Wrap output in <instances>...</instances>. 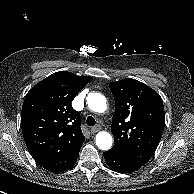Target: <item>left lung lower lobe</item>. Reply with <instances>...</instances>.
I'll return each instance as SVG.
<instances>
[{
	"mask_svg": "<svg viewBox=\"0 0 194 194\" xmlns=\"http://www.w3.org/2000/svg\"><path fill=\"white\" fill-rule=\"evenodd\" d=\"M103 154L108 166L120 173H131L139 170L143 166L141 164L125 159L109 150Z\"/></svg>",
	"mask_w": 194,
	"mask_h": 194,
	"instance_id": "obj_1",
	"label": "left lung lower lobe"
}]
</instances>
